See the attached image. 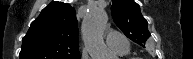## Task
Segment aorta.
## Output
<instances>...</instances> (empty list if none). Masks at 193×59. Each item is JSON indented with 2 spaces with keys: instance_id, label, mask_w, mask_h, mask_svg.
<instances>
[{
  "instance_id": "aorta-1",
  "label": "aorta",
  "mask_w": 193,
  "mask_h": 59,
  "mask_svg": "<svg viewBox=\"0 0 193 59\" xmlns=\"http://www.w3.org/2000/svg\"><path fill=\"white\" fill-rule=\"evenodd\" d=\"M107 21L106 12L98 8L90 10L83 21V36L93 59H116V56L106 48L103 40Z\"/></svg>"
}]
</instances>
